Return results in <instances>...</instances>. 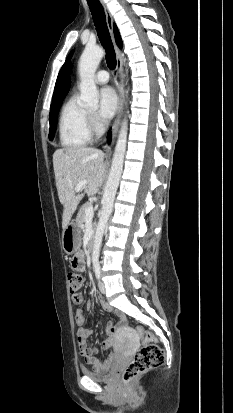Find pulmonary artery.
<instances>
[{
  "label": "pulmonary artery",
  "instance_id": "obj_1",
  "mask_svg": "<svg viewBox=\"0 0 233 413\" xmlns=\"http://www.w3.org/2000/svg\"><path fill=\"white\" fill-rule=\"evenodd\" d=\"M109 73L105 70L98 71L95 76V81L98 84H105L109 81Z\"/></svg>",
  "mask_w": 233,
  "mask_h": 413
}]
</instances>
